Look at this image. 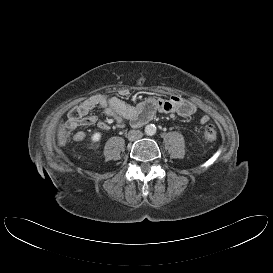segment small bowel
I'll return each mask as SVG.
<instances>
[{
    "instance_id": "small-bowel-1",
    "label": "small bowel",
    "mask_w": 273,
    "mask_h": 273,
    "mask_svg": "<svg viewBox=\"0 0 273 273\" xmlns=\"http://www.w3.org/2000/svg\"><path fill=\"white\" fill-rule=\"evenodd\" d=\"M127 94L126 91L123 93ZM95 107H101L103 112L113 118L117 123L129 121L134 127H139L149 121L156 112L177 113L184 118L192 116L196 110V105L179 96H172L168 100L159 98H148L137 105H130L117 97L96 95L80 103L68 113V126L75 130L74 139L82 141L85 138L83 128L88 126H98L101 129H108L109 124L99 121L97 116L91 114ZM209 117L204 115L201 123L208 122Z\"/></svg>"
}]
</instances>
